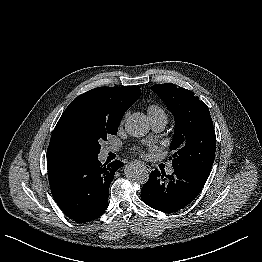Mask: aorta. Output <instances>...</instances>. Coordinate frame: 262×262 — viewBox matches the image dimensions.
Segmentation results:
<instances>
[{"mask_svg": "<svg viewBox=\"0 0 262 262\" xmlns=\"http://www.w3.org/2000/svg\"><path fill=\"white\" fill-rule=\"evenodd\" d=\"M149 122L142 113H133L125 123L126 132L133 137H142L149 132ZM124 173L132 182L144 184L149 180L147 168L140 163H130L124 169Z\"/></svg>", "mask_w": 262, "mask_h": 262, "instance_id": "1", "label": "aorta"}]
</instances>
